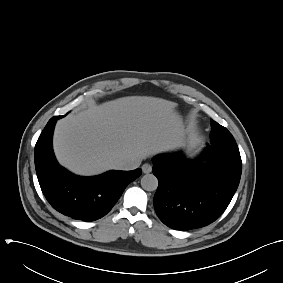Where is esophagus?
I'll use <instances>...</instances> for the list:
<instances>
[{"label":"esophagus","mask_w":283,"mask_h":283,"mask_svg":"<svg viewBox=\"0 0 283 283\" xmlns=\"http://www.w3.org/2000/svg\"><path fill=\"white\" fill-rule=\"evenodd\" d=\"M141 168H142L143 173L145 174H148L152 171V166L148 163H144Z\"/></svg>","instance_id":"1"}]
</instances>
